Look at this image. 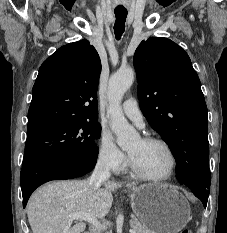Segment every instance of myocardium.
Instances as JSON below:
<instances>
[{
  "label": "myocardium",
  "instance_id": "f54148a6",
  "mask_svg": "<svg viewBox=\"0 0 227 233\" xmlns=\"http://www.w3.org/2000/svg\"><path fill=\"white\" fill-rule=\"evenodd\" d=\"M141 140L145 143H153V144H159V145L163 146L167 150V152L171 158V167H170L169 171L162 176H152V175L146 174L143 171H141L135 165L131 156L128 154V165H129L131 172L135 176H137L138 178H141V179L147 180V181L158 182V181H165V180L170 179L174 175V173L177 169V157H176V154H175L173 148L170 146V144L168 142H166L165 140L158 138V137L145 136V137L141 138Z\"/></svg>",
  "mask_w": 227,
  "mask_h": 233
}]
</instances>
